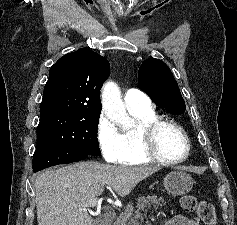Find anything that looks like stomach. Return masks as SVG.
<instances>
[{"instance_id":"obj_1","label":"stomach","mask_w":237,"mask_h":225,"mask_svg":"<svg viewBox=\"0 0 237 225\" xmlns=\"http://www.w3.org/2000/svg\"><path fill=\"white\" fill-rule=\"evenodd\" d=\"M164 188L168 193L174 196H181L188 193L193 186L192 177L186 172L180 170H174L169 172L163 180ZM133 207L128 205L126 207V215L130 216L132 214Z\"/></svg>"}]
</instances>
